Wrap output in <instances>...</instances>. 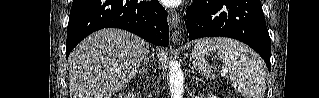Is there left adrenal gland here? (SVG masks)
I'll use <instances>...</instances> for the list:
<instances>
[{"mask_svg": "<svg viewBox=\"0 0 319 98\" xmlns=\"http://www.w3.org/2000/svg\"><path fill=\"white\" fill-rule=\"evenodd\" d=\"M191 71H192V73H193V78H196V80H199V78L196 77L195 72H194V69H193L192 66H191Z\"/></svg>", "mask_w": 319, "mask_h": 98, "instance_id": "1", "label": "left adrenal gland"}]
</instances>
